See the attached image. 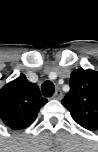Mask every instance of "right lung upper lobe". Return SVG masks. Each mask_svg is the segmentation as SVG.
<instances>
[{
	"label": "right lung upper lobe",
	"mask_w": 98,
	"mask_h": 152,
	"mask_svg": "<svg viewBox=\"0 0 98 152\" xmlns=\"http://www.w3.org/2000/svg\"><path fill=\"white\" fill-rule=\"evenodd\" d=\"M47 99L38 86L21 74L0 89V119L12 130L30 126Z\"/></svg>",
	"instance_id": "cb5924a9"
}]
</instances>
